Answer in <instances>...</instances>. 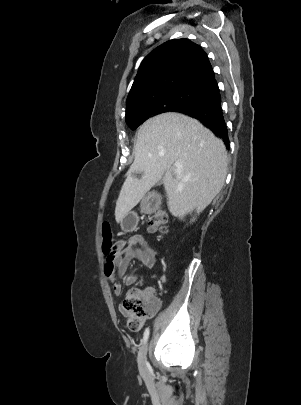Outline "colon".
Segmentation results:
<instances>
[{"label":"colon","mask_w":301,"mask_h":405,"mask_svg":"<svg viewBox=\"0 0 301 405\" xmlns=\"http://www.w3.org/2000/svg\"><path fill=\"white\" fill-rule=\"evenodd\" d=\"M167 223V214L160 210L158 213H152L148 218V230L151 233H165ZM101 233L103 251L107 256L106 261L111 262L116 253V248L113 243L111 226L108 222L102 224ZM157 309L158 299L154 292L149 290L131 289L122 302L123 314L127 318L128 326L134 331L139 330L144 322L156 313Z\"/></svg>","instance_id":"1"}]
</instances>
